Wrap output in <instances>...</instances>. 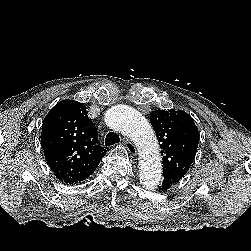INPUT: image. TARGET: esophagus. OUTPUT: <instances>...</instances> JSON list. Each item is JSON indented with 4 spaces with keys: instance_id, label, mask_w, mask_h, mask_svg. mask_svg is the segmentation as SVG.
<instances>
[{
    "instance_id": "34e87169",
    "label": "esophagus",
    "mask_w": 251,
    "mask_h": 251,
    "mask_svg": "<svg viewBox=\"0 0 251 251\" xmlns=\"http://www.w3.org/2000/svg\"><path fill=\"white\" fill-rule=\"evenodd\" d=\"M122 142L131 156L137 155V149L131 141L126 138H123Z\"/></svg>"
}]
</instances>
